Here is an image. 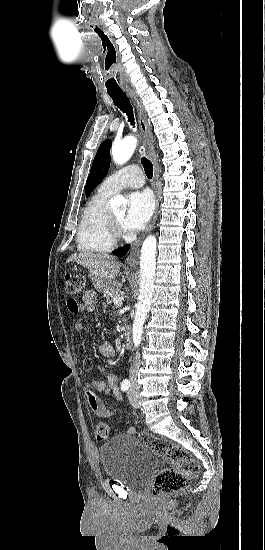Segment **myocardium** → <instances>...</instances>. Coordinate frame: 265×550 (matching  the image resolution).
<instances>
[{"mask_svg":"<svg viewBox=\"0 0 265 550\" xmlns=\"http://www.w3.org/2000/svg\"><path fill=\"white\" fill-rule=\"evenodd\" d=\"M108 228L110 235L114 241L120 240L126 236L124 227L110 210L108 218Z\"/></svg>","mask_w":265,"mask_h":550,"instance_id":"f54148a6","label":"myocardium"}]
</instances>
